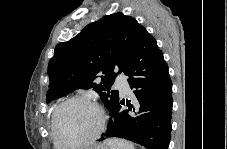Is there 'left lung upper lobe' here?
Here are the masks:
<instances>
[{
    "label": "left lung upper lobe",
    "instance_id": "left-lung-upper-lobe-1",
    "mask_svg": "<svg viewBox=\"0 0 227 149\" xmlns=\"http://www.w3.org/2000/svg\"><path fill=\"white\" fill-rule=\"evenodd\" d=\"M140 27L134 18L115 13L88 24L74 38L58 44L48 65L46 101L76 89H93L110 110L119 99L118 91H110L117 75L113 71L124 72ZM97 75H101L100 82L95 80Z\"/></svg>",
    "mask_w": 227,
    "mask_h": 149
}]
</instances>
